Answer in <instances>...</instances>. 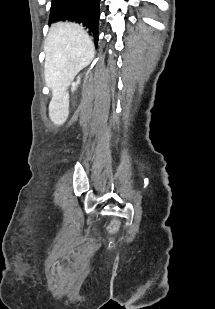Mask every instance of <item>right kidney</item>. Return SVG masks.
<instances>
[{
	"mask_svg": "<svg viewBox=\"0 0 215 309\" xmlns=\"http://www.w3.org/2000/svg\"><path fill=\"white\" fill-rule=\"evenodd\" d=\"M78 82H79V80H77V82H73V84H72V86H73L72 90H74V88H75L76 84H78Z\"/></svg>",
	"mask_w": 215,
	"mask_h": 309,
	"instance_id": "ca27d5eb",
	"label": "right kidney"
}]
</instances>
